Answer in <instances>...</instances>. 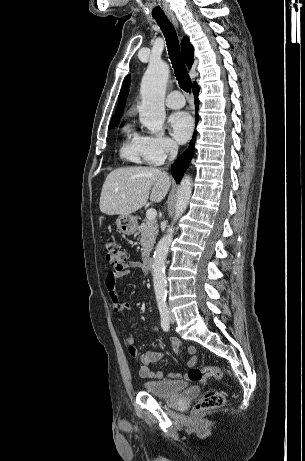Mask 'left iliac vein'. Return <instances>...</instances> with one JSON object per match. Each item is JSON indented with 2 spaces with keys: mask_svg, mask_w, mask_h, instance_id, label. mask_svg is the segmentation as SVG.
<instances>
[{
  "mask_svg": "<svg viewBox=\"0 0 305 461\" xmlns=\"http://www.w3.org/2000/svg\"><path fill=\"white\" fill-rule=\"evenodd\" d=\"M169 320H170L171 323L175 322V316L171 311H169Z\"/></svg>",
  "mask_w": 305,
  "mask_h": 461,
  "instance_id": "1",
  "label": "left iliac vein"
}]
</instances>
